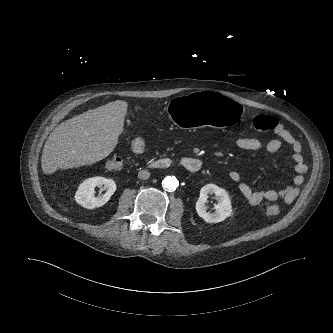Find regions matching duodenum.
<instances>
[{
    "instance_id": "duodenum-1",
    "label": "duodenum",
    "mask_w": 333,
    "mask_h": 333,
    "mask_svg": "<svg viewBox=\"0 0 333 333\" xmlns=\"http://www.w3.org/2000/svg\"><path fill=\"white\" fill-rule=\"evenodd\" d=\"M178 164L190 173H197L202 168V161L197 157H184L178 161ZM172 166V161L168 158L156 159L150 163L154 169H167Z\"/></svg>"
}]
</instances>
